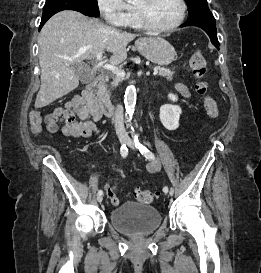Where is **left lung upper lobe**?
Instances as JSON below:
<instances>
[{
  "label": "left lung upper lobe",
  "mask_w": 261,
  "mask_h": 273,
  "mask_svg": "<svg viewBox=\"0 0 261 273\" xmlns=\"http://www.w3.org/2000/svg\"><path fill=\"white\" fill-rule=\"evenodd\" d=\"M185 2L188 6L189 15L200 8L208 6L206 0H185Z\"/></svg>",
  "instance_id": "obj_1"
}]
</instances>
